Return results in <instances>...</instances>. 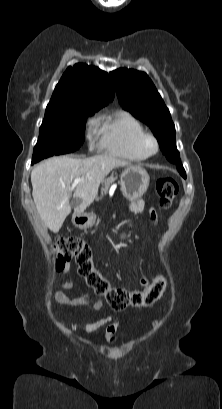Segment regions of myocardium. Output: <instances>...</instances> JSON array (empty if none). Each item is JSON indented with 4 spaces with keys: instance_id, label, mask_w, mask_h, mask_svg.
<instances>
[{
    "instance_id": "1",
    "label": "myocardium",
    "mask_w": 222,
    "mask_h": 409,
    "mask_svg": "<svg viewBox=\"0 0 222 409\" xmlns=\"http://www.w3.org/2000/svg\"><path fill=\"white\" fill-rule=\"evenodd\" d=\"M139 148L146 157H150L158 152L159 142L154 134L144 132L139 139Z\"/></svg>"
}]
</instances>
